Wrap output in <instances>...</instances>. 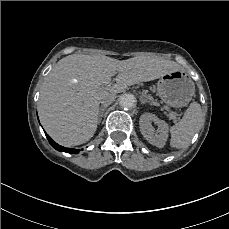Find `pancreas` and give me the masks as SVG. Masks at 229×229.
Instances as JSON below:
<instances>
[{
    "label": "pancreas",
    "mask_w": 229,
    "mask_h": 229,
    "mask_svg": "<svg viewBox=\"0 0 229 229\" xmlns=\"http://www.w3.org/2000/svg\"><path fill=\"white\" fill-rule=\"evenodd\" d=\"M145 97L147 98V100H148V102H149L150 104H152V105L157 104V102L154 100V98H153L150 94L145 95Z\"/></svg>",
    "instance_id": "obj_1"
}]
</instances>
